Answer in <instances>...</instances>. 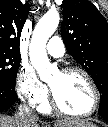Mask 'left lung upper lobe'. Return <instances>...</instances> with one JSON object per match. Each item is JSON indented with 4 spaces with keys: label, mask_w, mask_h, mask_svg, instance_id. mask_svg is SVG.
<instances>
[{
    "label": "left lung upper lobe",
    "mask_w": 108,
    "mask_h": 127,
    "mask_svg": "<svg viewBox=\"0 0 108 127\" xmlns=\"http://www.w3.org/2000/svg\"><path fill=\"white\" fill-rule=\"evenodd\" d=\"M61 33L71 56L91 75L99 111L108 112V23L88 0H64Z\"/></svg>",
    "instance_id": "left-lung-upper-lobe-1"
}]
</instances>
